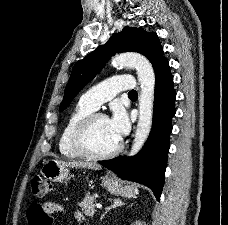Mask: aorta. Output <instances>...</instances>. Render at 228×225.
<instances>
[{
    "mask_svg": "<svg viewBox=\"0 0 228 225\" xmlns=\"http://www.w3.org/2000/svg\"><path fill=\"white\" fill-rule=\"evenodd\" d=\"M111 64L115 66V68L134 66L137 70V76L140 82L139 117L132 149L130 151V157H133V155L139 153L150 135L153 115L155 72L148 58H145L142 54H137V52L115 54L111 60Z\"/></svg>",
    "mask_w": 228,
    "mask_h": 225,
    "instance_id": "1",
    "label": "aorta"
}]
</instances>
